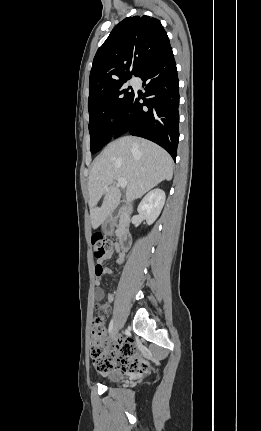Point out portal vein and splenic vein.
<instances>
[{
  "label": "portal vein and splenic vein",
  "mask_w": 261,
  "mask_h": 431,
  "mask_svg": "<svg viewBox=\"0 0 261 431\" xmlns=\"http://www.w3.org/2000/svg\"><path fill=\"white\" fill-rule=\"evenodd\" d=\"M117 182L121 188H125L127 186V180L124 178H117Z\"/></svg>",
  "instance_id": "18ae733b"
}]
</instances>
